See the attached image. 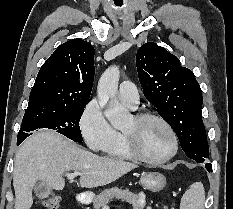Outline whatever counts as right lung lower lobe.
Returning a JSON list of instances; mask_svg holds the SVG:
<instances>
[{"mask_svg": "<svg viewBox=\"0 0 233 209\" xmlns=\"http://www.w3.org/2000/svg\"><path fill=\"white\" fill-rule=\"evenodd\" d=\"M23 140H18L17 139V145H20V143L22 142Z\"/></svg>", "mask_w": 233, "mask_h": 209, "instance_id": "right-lung-lower-lobe-1", "label": "right lung lower lobe"}]
</instances>
